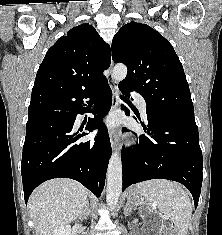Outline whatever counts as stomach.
<instances>
[{"label":"stomach","mask_w":222,"mask_h":235,"mask_svg":"<svg viewBox=\"0 0 222 235\" xmlns=\"http://www.w3.org/2000/svg\"><path fill=\"white\" fill-rule=\"evenodd\" d=\"M127 200L131 206H138L144 202L143 196L136 191V188L129 192Z\"/></svg>","instance_id":"1"}]
</instances>
